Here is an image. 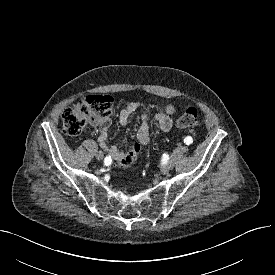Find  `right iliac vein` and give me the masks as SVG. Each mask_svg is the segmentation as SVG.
I'll return each mask as SVG.
<instances>
[{
    "instance_id": "1",
    "label": "right iliac vein",
    "mask_w": 275,
    "mask_h": 275,
    "mask_svg": "<svg viewBox=\"0 0 275 275\" xmlns=\"http://www.w3.org/2000/svg\"><path fill=\"white\" fill-rule=\"evenodd\" d=\"M96 158H97L98 160H102V159H103V153H102L101 151L97 152V153H96Z\"/></svg>"
}]
</instances>
